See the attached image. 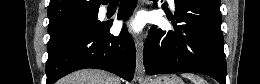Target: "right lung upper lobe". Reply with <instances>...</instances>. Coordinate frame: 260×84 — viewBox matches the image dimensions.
<instances>
[{"label": "right lung upper lobe", "instance_id": "obj_1", "mask_svg": "<svg viewBox=\"0 0 260 84\" xmlns=\"http://www.w3.org/2000/svg\"><path fill=\"white\" fill-rule=\"evenodd\" d=\"M106 0H50L48 8L49 26L57 27L77 17L98 12Z\"/></svg>", "mask_w": 260, "mask_h": 84}]
</instances>
